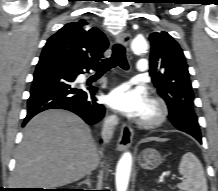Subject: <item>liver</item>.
Listing matches in <instances>:
<instances>
[{"label": "liver", "mask_w": 218, "mask_h": 191, "mask_svg": "<svg viewBox=\"0 0 218 191\" xmlns=\"http://www.w3.org/2000/svg\"><path fill=\"white\" fill-rule=\"evenodd\" d=\"M165 141L154 137L142 142ZM12 180L19 188L50 189L71 184L94 170L98 150L88 125L58 109L39 113L25 126Z\"/></svg>", "instance_id": "1"}]
</instances>
